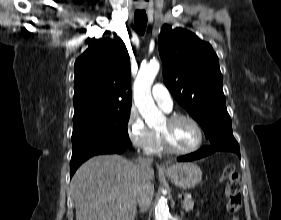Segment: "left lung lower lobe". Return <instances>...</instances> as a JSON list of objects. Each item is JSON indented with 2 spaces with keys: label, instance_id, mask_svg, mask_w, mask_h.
Masks as SVG:
<instances>
[{
  "label": "left lung lower lobe",
  "instance_id": "obj_1",
  "mask_svg": "<svg viewBox=\"0 0 281 220\" xmlns=\"http://www.w3.org/2000/svg\"><path fill=\"white\" fill-rule=\"evenodd\" d=\"M217 151L234 152L240 157L239 146L231 147V148H227V149H218V148H214L212 146H205V147L201 148L199 151H197L195 153H192V154H189V155H186V156H181L177 160L180 161V162H182V161H192V160L203 158V157L208 156V155H210L214 152H217Z\"/></svg>",
  "mask_w": 281,
  "mask_h": 220
}]
</instances>
